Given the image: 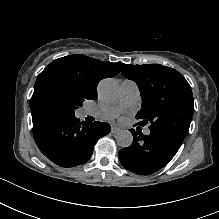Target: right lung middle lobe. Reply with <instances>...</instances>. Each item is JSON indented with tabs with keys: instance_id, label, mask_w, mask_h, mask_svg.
<instances>
[{
	"instance_id": "1",
	"label": "right lung middle lobe",
	"mask_w": 219,
	"mask_h": 219,
	"mask_svg": "<svg viewBox=\"0 0 219 219\" xmlns=\"http://www.w3.org/2000/svg\"><path fill=\"white\" fill-rule=\"evenodd\" d=\"M84 100L86 99L77 87L60 79H48L34 91L30 108L51 109L72 116L83 105Z\"/></svg>"
}]
</instances>
